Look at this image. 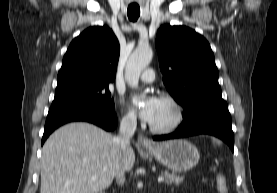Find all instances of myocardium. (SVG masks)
Here are the masks:
<instances>
[{"label": "myocardium", "instance_id": "myocardium-1", "mask_svg": "<svg viewBox=\"0 0 277 193\" xmlns=\"http://www.w3.org/2000/svg\"><path fill=\"white\" fill-rule=\"evenodd\" d=\"M160 100L166 101L174 108V119L170 124L162 127L149 124V129L157 134H168L176 130L182 124L184 120V109L180 102L172 96L163 95L160 97Z\"/></svg>", "mask_w": 277, "mask_h": 193}]
</instances>
